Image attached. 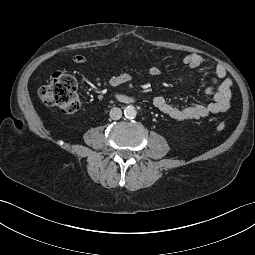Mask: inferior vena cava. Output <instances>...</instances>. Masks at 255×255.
Here are the masks:
<instances>
[{
	"label": "inferior vena cava",
	"instance_id": "inferior-vena-cava-1",
	"mask_svg": "<svg viewBox=\"0 0 255 255\" xmlns=\"http://www.w3.org/2000/svg\"><path fill=\"white\" fill-rule=\"evenodd\" d=\"M109 116L113 120H119L122 117V110L118 107H114L110 110Z\"/></svg>",
	"mask_w": 255,
	"mask_h": 255
}]
</instances>
